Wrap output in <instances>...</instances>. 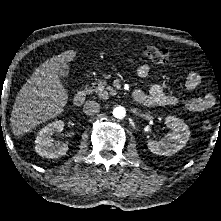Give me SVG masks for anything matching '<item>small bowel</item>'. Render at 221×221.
<instances>
[{
  "instance_id": "small-bowel-1",
  "label": "small bowel",
  "mask_w": 221,
  "mask_h": 221,
  "mask_svg": "<svg viewBox=\"0 0 221 221\" xmlns=\"http://www.w3.org/2000/svg\"><path fill=\"white\" fill-rule=\"evenodd\" d=\"M150 73L148 64H141L137 68V75L140 78H146ZM201 77L197 72H189L185 79L184 88L187 91H192L199 86ZM139 92L136 102L148 106H172L179 103L180 99L176 95L168 94L164 89L157 84H152L147 92L137 90ZM184 107L192 112H203L214 105V97L207 94L203 97H191L182 101Z\"/></svg>"
}]
</instances>
